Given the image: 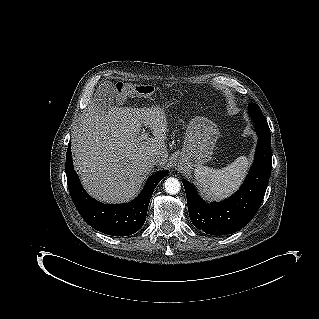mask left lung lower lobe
Segmentation results:
<instances>
[{
    "label": "left lung lower lobe",
    "instance_id": "obj_1",
    "mask_svg": "<svg viewBox=\"0 0 319 319\" xmlns=\"http://www.w3.org/2000/svg\"><path fill=\"white\" fill-rule=\"evenodd\" d=\"M258 144L255 160L242 187L230 198L211 204L199 198L195 188L183 181L193 225L210 235H227L245 227L264 198L272 168L271 135L267 123H256Z\"/></svg>",
    "mask_w": 319,
    "mask_h": 319
}]
</instances>
